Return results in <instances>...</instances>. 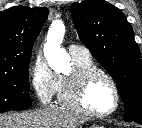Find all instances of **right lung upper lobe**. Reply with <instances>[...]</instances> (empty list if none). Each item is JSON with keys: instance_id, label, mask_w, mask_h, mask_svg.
Listing matches in <instances>:
<instances>
[{"instance_id": "1", "label": "right lung upper lobe", "mask_w": 142, "mask_h": 128, "mask_svg": "<svg viewBox=\"0 0 142 128\" xmlns=\"http://www.w3.org/2000/svg\"><path fill=\"white\" fill-rule=\"evenodd\" d=\"M47 8L14 6L0 12V71L30 61L36 40L48 16Z\"/></svg>"}]
</instances>
